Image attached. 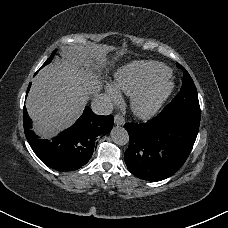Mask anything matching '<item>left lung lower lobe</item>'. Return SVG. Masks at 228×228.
<instances>
[{"mask_svg":"<svg viewBox=\"0 0 228 228\" xmlns=\"http://www.w3.org/2000/svg\"><path fill=\"white\" fill-rule=\"evenodd\" d=\"M200 121L167 118L162 112L146 123H126L130 142L124 160L136 177L157 182L175 174L196 140Z\"/></svg>","mask_w":228,"mask_h":228,"instance_id":"obj_1","label":"left lung lower lobe"}]
</instances>
